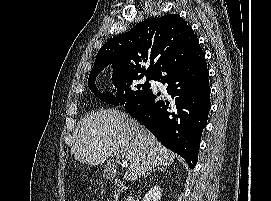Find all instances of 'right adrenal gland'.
Instances as JSON below:
<instances>
[{
	"instance_id": "right-adrenal-gland-1",
	"label": "right adrenal gland",
	"mask_w": 271,
	"mask_h": 201,
	"mask_svg": "<svg viewBox=\"0 0 271 201\" xmlns=\"http://www.w3.org/2000/svg\"><path fill=\"white\" fill-rule=\"evenodd\" d=\"M156 171L163 172V171H165V169L163 167H161V166L157 167V168H154L153 170H150L149 172L144 174L143 178L147 177L148 175H151V173L156 172Z\"/></svg>"
}]
</instances>
